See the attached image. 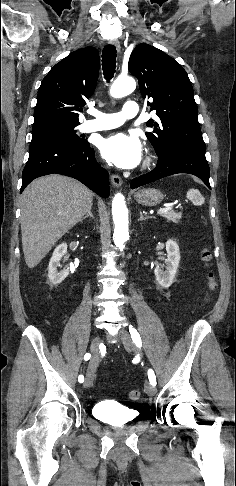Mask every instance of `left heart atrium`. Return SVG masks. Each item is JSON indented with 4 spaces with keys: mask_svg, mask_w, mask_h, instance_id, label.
Here are the masks:
<instances>
[{
    "mask_svg": "<svg viewBox=\"0 0 236 486\" xmlns=\"http://www.w3.org/2000/svg\"><path fill=\"white\" fill-rule=\"evenodd\" d=\"M99 149L103 158L124 169L136 167L141 161L143 150L138 137L126 133H115L103 138Z\"/></svg>",
    "mask_w": 236,
    "mask_h": 486,
    "instance_id": "left-heart-atrium-1",
    "label": "left heart atrium"
}]
</instances>
